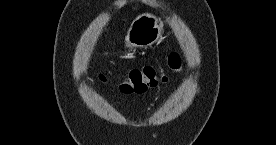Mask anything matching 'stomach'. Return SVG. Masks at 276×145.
Segmentation results:
<instances>
[{
  "label": "stomach",
  "mask_w": 276,
  "mask_h": 145,
  "mask_svg": "<svg viewBox=\"0 0 276 145\" xmlns=\"http://www.w3.org/2000/svg\"><path fill=\"white\" fill-rule=\"evenodd\" d=\"M164 24L151 13L139 15L131 24L125 37L128 47H147L160 40Z\"/></svg>",
  "instance_id": "obj_1"
}]
</instances>
